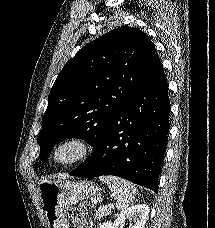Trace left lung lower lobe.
Listing matches in <instances>:
<instances>
[{"instance_id":"obj_1","label":"left lung lower lobe","mask_w":215,"mask_h":228,"mask_svg":"<svg viewBox=\"0 0 215 228\" xmlns=\"http://www.w3.org/2000/svg\"><path fill=\"white\" fill-rule=\"evenodd\" d=\"M168 83L159 57L119 108L76 177L113 175L158 192L169 132Z\"/></svg>"}]
</instances>
